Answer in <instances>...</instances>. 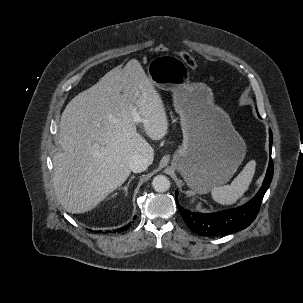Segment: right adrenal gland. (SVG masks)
<instances>
[{
    "label": "right adrenal gland",
    "instance_id": "obj_1",
    "mask_svg": "<svg viewBox=\"0 0 303 303\" xmlns=\"http://www.w3.org/2000/svg\"><path fill=\"white\" fill-rule=\"evenodd\" d=\"M134 178H135V176H134V175H132V176H131V178L129 179V181H128L127 185H126L124 188H122V189L124 190V193H125V194H127V193H128V187H129V184L131 183V181H132Z\"/></svg>",
    "mask_w": 303,
    "mask_h": 303
}]
</instances>
